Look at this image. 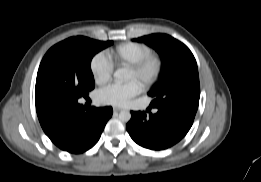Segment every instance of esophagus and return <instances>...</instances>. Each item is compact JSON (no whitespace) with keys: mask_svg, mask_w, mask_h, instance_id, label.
Wrapping results in <instances>:
<instances>
[{"mask_svg":"<svg viewBox=\"0 0 261 182\" xmlns=\"http://www.w3.org/2000/svg\"><path fill=\"white\" fill-rule=\"evenodd\" d=\"M122 110H123V108L113 107V111H114V112H120V111H122Z\"/></svg>","mask_w":261,"mask_h":182,"instance_id":"34e87169","label":"esophagus"}]
</instances>
